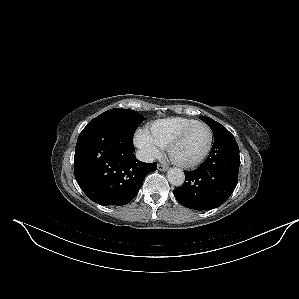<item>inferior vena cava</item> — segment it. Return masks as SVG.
<instances>
[{"instance_id":"602c4592","label":"inferior vena cava","mask_w":299,"mask_h":299,"mask_svg":"<svg viewBox=\"0 0 299 299\" xmlns=\"http://www.w3.org/2000/svg\"><path fill=\"white\" fill-rule=\"evenodd\" d=\"M136 157L143 162L152 163L154 161V157L145 151H137Z\"/></svg>"}]
</instances>
